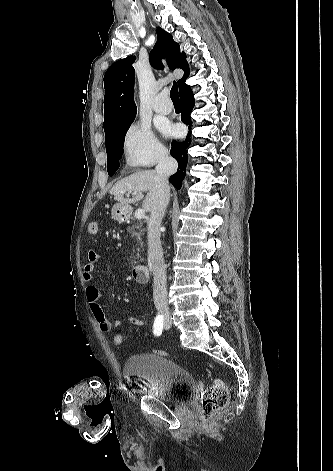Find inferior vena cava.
Segmentation results:
<instances>
[{
  "instance_id": "1",
  "label": "inferior vena cava",
  "mask_w": 333,
  "mask_h": 471,
  "mask_svg": "<svg viewBox=\"0 0 333 471\" xmlns=\"http://www.w3.org/2000/svg\"><path fill=\"white\" fill-rule=\"evenodd\" d=\"M177 167V161L169 156L167 152L164 151L160 153L156 166L159 195L156 203L153 205L147 227L148 261L154 276L153 298L157 311L161 313H168V303L166 265L164 263L160 242V225L165 209L169 203L170 188L168 178L176 172Z\"/></svg>"
}]
</instances>
